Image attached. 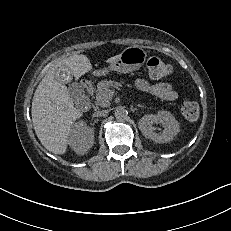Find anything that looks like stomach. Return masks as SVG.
Instances as JSON below:
<instances>
[{
	"label": "stomach",
	"instance_id": "0dacf381",
	"mask_svg": "<svg viewBox=\"0 0 231 231\" xmlns=\"http://www.w3.org/2000/svg\"><path fill=\"white\" fill-rule=\"evenodd\" d=\"M147 57L146 51L139 47H127L119 55L118 59L110 64L108 68L95 71L97 76L106 75L109 71H117L121 73H130L140 69L145 63Z\"/></svg>",
	"mask_w": 231,
	"mask_h": 231
}]
</instances>
